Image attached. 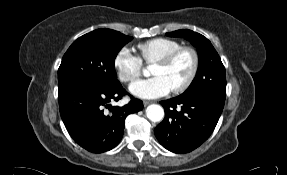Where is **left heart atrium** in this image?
I'll list each match as a JSON object with an SVG mask.
<instances>
[{
  "instance_id": "left-heart-atrium-1",
  "label": "left heart atrium",
  "mask_w": 287,
  "mask_h": 175,
  "mask_svg": "<svg viewBox=\"0 0 287 175\" xmlns=\"http://www.w3.org/2000/svg\"><path fill=\"white\" fill-rule=\"evenodd\" d=\"M130 91L139 98L153 99L169 94L172 88L163 76L157 75L135 81L130 86Z\"/></svg>"
}]
</instances>
